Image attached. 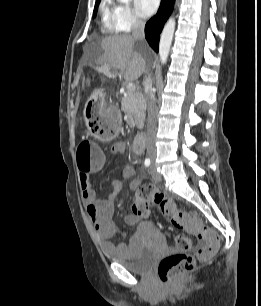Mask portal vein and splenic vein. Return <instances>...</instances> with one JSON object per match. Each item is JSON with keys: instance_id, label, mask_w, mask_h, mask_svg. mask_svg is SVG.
<instances>
[{"instance_id": "1", "label": "portal vein and splenic vein", "mask_w": 261, "mask_h": 306, "mask_svg": "<svg viewBox=\"0 0 261 306\" xmlns=\"http://www.w3.org/2000/svg\"><path fill=\"white\" fill-rule=\"evenodd\" d=\"M126 88H127V90H130V91H135L136 90V86L131 82L127 83Z\"/></svg>"}]
</instances>
